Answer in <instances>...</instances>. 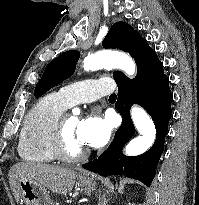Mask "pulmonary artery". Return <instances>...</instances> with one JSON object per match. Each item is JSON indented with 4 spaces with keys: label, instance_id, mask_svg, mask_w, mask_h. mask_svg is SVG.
I'll return each mask as SVG.
<instances>
[{
    "label": "pulmonary artery",
    "instance_id": "1",
    "mask_svg": "<svg viewBox=\"0 0 199 205\" xmlns=\"http://www.w3.org/2000/svg\"><path fill=\"white\" fill-rule=\"evenodd\" d=\"M111 81L103 78L86 79L60 88L59 94L69 105L82 102H93L101 96L111 93Z\"/></svg>",
    "mask_w": 199,
    "mask_h": 205
}]
</instances>
